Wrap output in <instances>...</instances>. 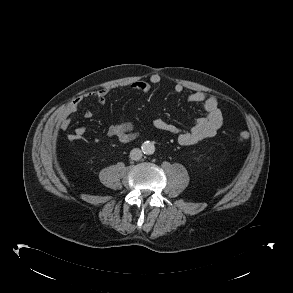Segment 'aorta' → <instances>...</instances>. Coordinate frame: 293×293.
<instances>
[{"label":"aorta","mask_w":293,"mask_h":293,"mask_svg":"<svg viewBox=\"0 0 293 293\" xmlns=\"http://www.w3.org/2000/svg\"><path fill=\"white\" fill-rule=\"evenodd\" d=\"M142 151L144 154H147V155L153 154L155 152L154 143L151 141H145L142 144Z\"/></svg>","instance_id":"obj_1"}]
</instances>
